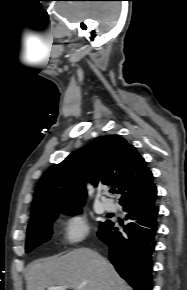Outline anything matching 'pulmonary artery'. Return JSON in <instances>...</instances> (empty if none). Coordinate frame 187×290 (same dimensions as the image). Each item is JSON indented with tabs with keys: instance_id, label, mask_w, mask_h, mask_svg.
<instances>
[{
	"instance_id": "1",
	"label": "pulmonary artery",
	"mask_w": 187,
	"mask_h": 290,
	"mask_svg": "<svg viewBox=\"0 0 187 290\" xmlns=\"http://www.w3.org/2000/svg\"><path fill=\"white\" fill-rule=\"evenodd\" d=\"M102 206L108 212H113L116 209L114 202L110 199H103Z\"/></svg>"
}]
</instances>
